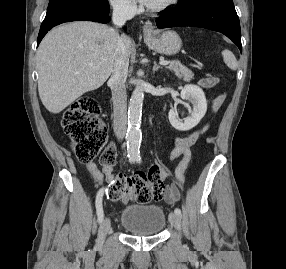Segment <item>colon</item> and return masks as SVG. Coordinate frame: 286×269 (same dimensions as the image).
<instances>
[{
	"label": "colon",
	"mask_w": 286,
	"mask_h": 269,
	"mask_svg": "<svg viewBox=\"0 0 286 269\" xmlns=\"http://www.w3.org/2000/svg\"><path fill=\"white\" fill-rule=\"evenodd\" d=\"M200 83H208L209 91L219 88L220 78H200ZM224 94L216 100H209L207 110H216L221 105ZM62 127L73 144L76 158L89 163L100 155L102 166H113L116 151L113 145L107 146V131L98 116V104L93 97L76 100L63 114ZM147 173L131 176L118 174L110 183L106 196L110 201H123L134 197L141 203L150 199H160L165 193L161 163H152Z\"/></svg>",
	"instance_id": "obj_1"
}]
</instances>
